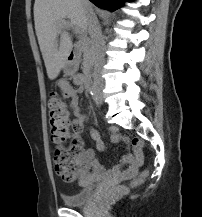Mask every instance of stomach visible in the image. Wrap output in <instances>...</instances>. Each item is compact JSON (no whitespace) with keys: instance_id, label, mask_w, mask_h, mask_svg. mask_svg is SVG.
Instances as JSON below:
<instances>
[{"instance_id":"stomach-1","label":"stomach","mask_w":202,"mask_h":217,"mask_svg":"<svg viewBox=\"0 0 202 217\" xmlns=\"http://www.w3.org/2000/svg\"><path fill=\"white\" fill-rule=\"evenodd\" d=\"M66 67H67V68H71V69H72V68H74V65H73V64H71V63H67V64H66ZM73 72H74V71H73V70H71V73H73Z\"/></svg>"}]
</instances>
